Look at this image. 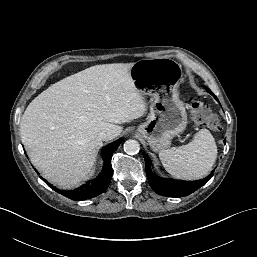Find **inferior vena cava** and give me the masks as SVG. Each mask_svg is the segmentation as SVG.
Returning <instances> with one entry per match:
<instances>
[{
    "mask_svg": "<svg viewBox=\"0 0 257 257\" xmlns=\"http://www.w3.org/2000/svg\"><path fill=\"white\" fill-rule=\"evenodd\" d=\"M117 135L114 131H103L99 134L101 140L109 141L115 138Z\"/></svg>",
    "mask_w": 257,
    "mask_h": 257,
    "instance_id": "obj_1",
    "label": "inferior vena cava"
}]
</instances>
